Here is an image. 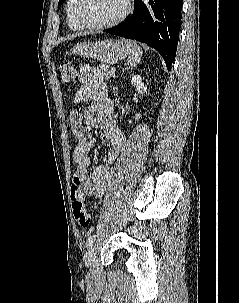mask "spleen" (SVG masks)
<instances>
[{"label": "spleen", "instance_id": "obj_1", "mask_svg": "<svg viewBox=\"0 0 239 303\" xmlns=\"http://www.w3.org/2000/svg\"><path fill=\"white\" fill-rule=\"evenodd\" d=\"M122 42L124 43L128 51L127 64L130 68H132L138 63H140L143 53L142 49L134 41L123 39Z\"/></svg>", "mask_w": 239, "mask_h": 303}]
</instances>
